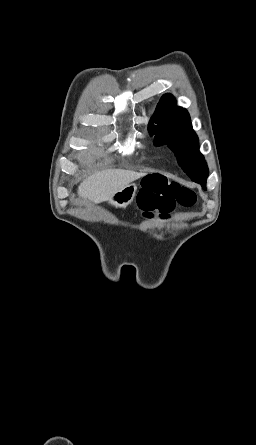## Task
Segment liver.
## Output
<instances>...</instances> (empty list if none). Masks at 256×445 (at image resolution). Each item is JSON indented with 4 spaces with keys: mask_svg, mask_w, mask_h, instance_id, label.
I'll use <instances>...</instances> for the list:
<instances>
[{
    "mask_svg": "<svg viewBox=\"0 0 256 445\" xmlns=\"http://www.w3.org/2000/svg\"><path fill=\"white\" fill-rule=\"evenodd\" d=\"M144 175L121 169L103 170L84 180L78 187V194L94 203L103 202Z\"/></svg>",
    "mask_w": 256,
    "mask_h": 445,
    "instance_id": "obj_1",
    "label": "liver"
}]
</instances>
